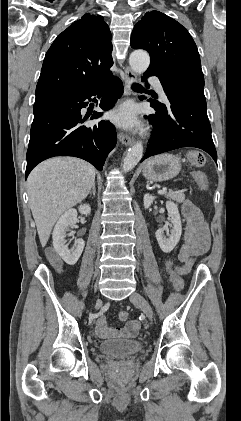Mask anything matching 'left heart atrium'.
Wrapping results in <instances>:
<instances>
[{
    "label": "left heart atrium",
    "mask_w": 241,
    "mask_h": 421,
    "mask_svg": "<svg viewBox=\"0 0 241 421\" xmlns=\"http://www.w3.org/2000/svg\"><path fill=\"white\" fill-rule=\"evenodd\" d=\"M110 118L118 125L125 128H135L139 126L136 119L135 110L130 105H123L110 114Z\"/></svg>",
    "instance_id": "39dd6f15"
}]
</instances>
